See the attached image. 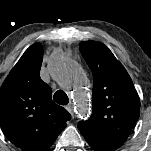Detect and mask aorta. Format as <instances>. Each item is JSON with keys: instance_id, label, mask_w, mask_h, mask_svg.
Listing matches in <instances>:
<instances>
[{"instance_id": "obj_1", "label": "aorta", "mask_w": 151, "mask_h": 151, "mask_svg": "<svg viewBox=\"0 0 151 151\" xmlns=\"http://www.w3.org/2000/svg\"><path fill=\"white\" fill-rule=\"evenodd\" d=\"M79 71L78 66L66 56L59 52L53 59L51 65V73L60 78H70L75 72ZM74 97L77 102L78 113L83 118H86L89 114V107L87 102V96L78 86L74 92Z\"/></svg>"}]
</instances>
